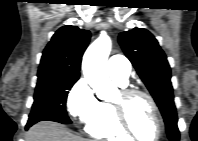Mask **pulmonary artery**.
<instances>
[{"instance_id":"1","label":"pulmonary artery","mask_w":198,"mask_h":141,"mask_svg":"<svg viewBox=\"0 0 198 141\" xmlns=\"http://www.w3.org/2000/svg\"><path fill=\"white\" fill-rule=\"evenodd\" d=\"M107 71L112 80L126 84L130 73V64L124 56L113 55L108 60Z\"/></svg>"}]
</instances>
